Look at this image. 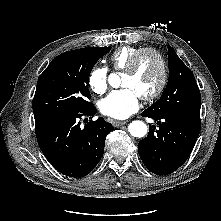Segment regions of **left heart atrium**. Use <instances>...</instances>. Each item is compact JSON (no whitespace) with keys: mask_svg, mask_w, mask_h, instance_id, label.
Returning a JSON list of instances; mask_svg holds the SVG:
<instances>
[{"mask_svg":"<svg viewBox=\"0 0 221 221\" xmlns=\"http://www.w3.org/2000/svg\"><path fill=\"white\" fill-rule=\"evenodd\" d=\"M140 96L130 87L114 90L99 102L102 114L114 118L125 119L139 108Z\"/></svg>","mask_w":221,"mask_h":221,"instance_id":"1","label":"left heart atrium"}]
</instances>
